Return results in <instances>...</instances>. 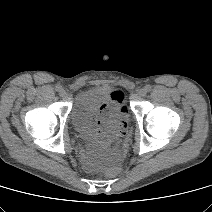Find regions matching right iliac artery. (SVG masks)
Instances as JSON below:
<instances>
[{
	"label": "right iliac artery",
	"instance_id": "obj_1",
	"mask_svg": "<svg viewBox=\"0 0 212 212\" xmlns=\"http://www.w3.org/2000/svg\"><path fill=\"white\" fill-rule=\"evenodd\" d=\"M61 89V85L56 86V91H59Z\"/></svg>",
	"mask_w": 212,
	"mask_h": 212
}]
</instances>
